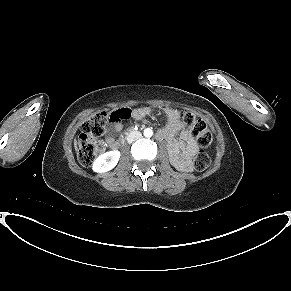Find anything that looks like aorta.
Returning a JSON list of instances; mask_svg holds the SVG:
<instances>
[{"instance_id": "aorta-1", "label": "aorta", "mask_w": 291, "mask_h": 291, "mask_svg": "<svg viewBox=\"0 0 291 291\" xmlns=\"http://www.w3.org/2000/svg\"><path fill=\"white\" fill-rule=\"evenodd\" d=\"M152 135H153V131H152V129L151 128H146L145 130H144V136L145 137H152Z\"/></svg>"}]
</instances>
